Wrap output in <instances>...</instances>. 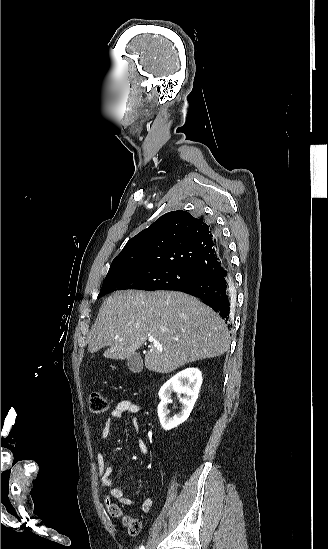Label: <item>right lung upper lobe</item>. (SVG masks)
I'll return each instance as SVG.
<instances>
[{"instance_id":"right-lung-upper-lobe-1","label":"right lung upper lobe","mask_w":328,"mask_h":549,"mask_svg":"<svg viewBox=\"0 0 328 549\" xmlns=\"http://www.w3.org/2000/svg\"><path fill=\"white\" fill-rule=\"evenodd\" d=\"M217 235L203 218L182 210L166 213L126 243L109 272L126 264L146 263L215 274L226 262Z\"/></svg>"}]
</instances>
